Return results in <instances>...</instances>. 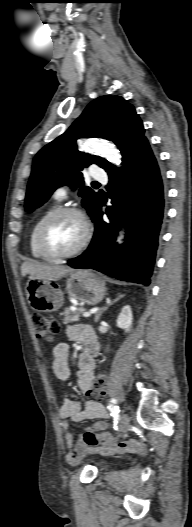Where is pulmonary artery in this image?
Instances as JSON below:
<instances>
[{
	"label": "pulmonary artery",
	"instance_id": "e3ab8cb5",
	"mask_svg": "<svg viewBox=\"0 0 192 527\" xmlns=\"http://www.w3.org/2000/svg\"><path fill=\"white\" fill-rule=\"evenodd\" d=\"M91 177L94 180H97V181H101V182H106L107 181L106 173L100 168H96V167L93 168L91 170ZM53 197L57 201L64 200L67 197V188L65 186L58 187L54 191Z\"/></svg>",
	"mask_w": 192,
	"mask_h": 527
}]
</instances>
